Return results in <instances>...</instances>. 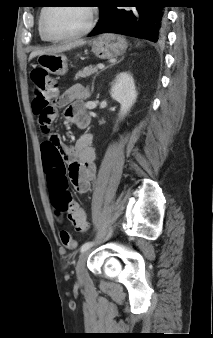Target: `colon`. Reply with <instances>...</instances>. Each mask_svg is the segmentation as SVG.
<instances>
[{
    "label": "colon",
    "instance_id": "colon-1",
    "mask_svg": "<svg viewBox=\"0 0 213 338\" xmlns=\"http://www.w3.org/2000/svg\"><path fill=\"white\" fill-rule=\"evenodd\" d=\"M31 80L34 95L33 111L42 126V133L46 137L42 148L44 151L50 152L54 146L57 147L62 144L61 138L58 135H50L48 128V123L54 116L52 100L58 91L57 84L43 69L32 71ZM65 187V183H58L55 186L51 194L54 209L58 213L67 214L68 219L73 223L77 231H85L88 228L85 213ZM60 241L68 249H72L75 246L73 237L66 230L60 232Z\"/></svg>",
    "mask_w": 213,
    "mask_h": 338
}]
</instances>
